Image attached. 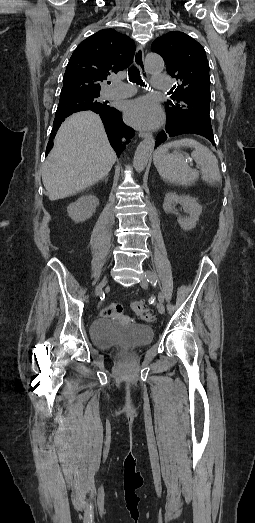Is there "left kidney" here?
I'll return each instance as SVG.
<instances>
[{"label":"left kidney","mask_w":255,"mask_h":523,"mask_svg":"<svg viewBox=\"0 0 255 523\" xmlns=\"http://www.w3.org/2000/svg\"><path fill=\"white\" fill-rule=\"evenodd\" d=\"M174 204H181L184 212L189 214L188 218L179 216L178 222L183 230H192L195 228L200 214H202V206L198 204L196 198H190V196H178L173 192H168L164 198L163 210L167 214L174 212Z\"/></svg>","instance_id":"1"}]
</instances>
